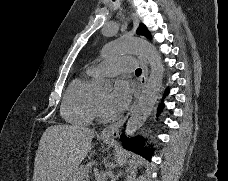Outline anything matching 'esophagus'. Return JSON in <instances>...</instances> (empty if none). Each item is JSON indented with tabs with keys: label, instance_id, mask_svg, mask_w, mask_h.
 <instances>
[{
	"label": "esophagus",
	"instance_id": "1",
	"mask_svg": "<svg viewBox=\"0 0 228 181\" xmlns=\"http://www.w3.org/2000/svg\"><path fill=\"white\" fill-rule=\"evenodd\" d=\"M138 58L140 60L141 66H142V73H141V76L139 77V81H140V85H141V93H143L144 90L146 89L147 80H148V65H147V61L144 57L138 56ZM139 97H140V95H138L136 97L132 107L130 108V110L128 111L126 116H124V118L122 120L117 121V123L110 124L109 126H106V128L103 129V131L101 133V137H116V136H118L119 129L121 128V126L124 124V122L129 117L130 113L135 108L136 103L139 100Z\"/></svg>",
	"mask_w": 228,
	"mask_h": 181
}]
</instances>
